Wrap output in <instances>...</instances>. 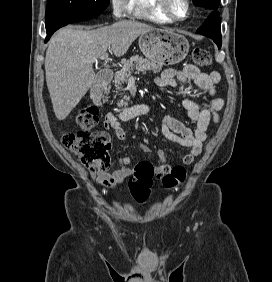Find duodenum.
<instances>
[{"label": "duodenum", "instance_id": "1", "mask_svg": "<svg viewBox=\"0 0 272 282\" xmlns=\"http://www.w3.org/2000/svg\"><path fill=\"white\" fill-rule=\"evenodd\" d=\"M111 79H112V73L108 70L98 74L95 83L92 84L89 89L91 97L95 101H99L101 99L102 93L104 92L106 86L111 82ZM127 112L129 115L133 114V109L128 108Z\"/></svg>", "mask_w": 272, "mask_h": 282}]
</instances>
